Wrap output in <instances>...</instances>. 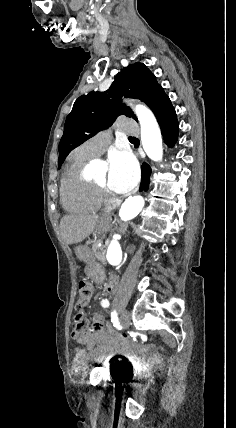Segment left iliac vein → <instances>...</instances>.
<instances>
[{
	"label": "left iliac vein",
	"mask_w": 236,
	"mask_h": 428,
	"mask_svg": "<svg viewBox=\"0 0 236 428\" xmlns=\"http://www.w3.org/2000/svg\"><path fill=\"white\" fill-rule=\"evenodd\" d=\"M129 316V313L124 312V315L120 318V324L124 327L123 330L131 326V318Z\"/></svg>",
	"instance_id": "left-iliac-vein-1"
}]
</instances>
